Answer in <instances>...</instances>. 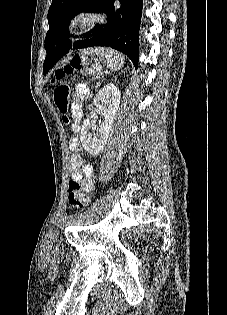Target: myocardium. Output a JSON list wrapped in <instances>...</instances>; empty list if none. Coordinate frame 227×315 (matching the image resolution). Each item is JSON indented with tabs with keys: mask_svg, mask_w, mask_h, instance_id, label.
Returning a JSON list of instances; mask_svg holds the SVG:
<instances>
[{
	"mask_svg": "<svg viewBox=\"0 0 227 315\" xmlns=\"http://www.w3.org/2000/svg\"><path fill=\"white\" fill-rule=\"evenodd\" d=\"M99 23V16L92 11H79L74 13L67 22L69 38H76L89 33Z\"/></svg>",
	"mask_w": 227,
	"mask_h": 315,
	"instance_id": "1",
	"label": "myocardium"
}]
</instances>
